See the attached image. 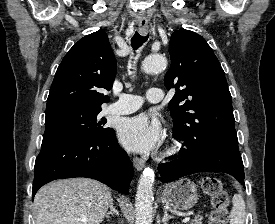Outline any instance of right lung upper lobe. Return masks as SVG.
Returning <instances> with one entry per match:
<instances>
[{"label": "right lung upper lobe", "instance_id": "cb5924a9", "mask_svg": "<svg viewBox=\"0 0 275 224\" xmlns=\"http://www.w3.org/2000/svg\"><path fill=\"white\" fill-rule=\"evenodd\" d=\"M116 75V59L107 34L97 31L80 39L60 63L47 99L46 113L66 107L101 109Z\"/></svg>", "mask_w": 275, "mask_h": 224}]
</instances>
